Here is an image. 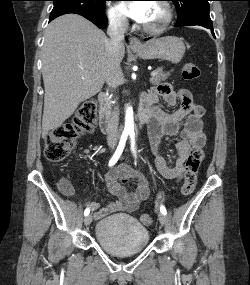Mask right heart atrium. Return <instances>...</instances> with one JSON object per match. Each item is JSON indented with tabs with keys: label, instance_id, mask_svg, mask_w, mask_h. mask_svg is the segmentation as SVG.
<instances>
[{
	"label": "right heart atrium",
	"instance_id": "obj_1",
	"mask_svg": "<svg viewBox=\"0 0 250 285\" xmlns=\"http://www.w3.org/2000/svg\"><path fill=\"white\" fill-rule=\"evenodd\" d=\"M108 19L110 24L117 28H124L128 23L122 7L118 4H111L109 6Z\"/></svg>",
	"mask_w": 250,
	"mask_h": 285
}]
</instances>
